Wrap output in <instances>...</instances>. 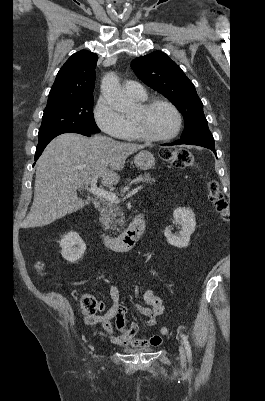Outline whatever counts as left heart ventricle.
I'll use <instances>...</instances> for the list:
<instances>
[{
  "mask_svg": "<svg viewBox=\"0 0 265 401\" xmlns=\"http://www.w3.org/2000/svg\"><path fill=\"white\" fill-rule=\"evenodd\" d=\"M139 112L140 108L138 106L133 118H139L145 132L152 137L170 135L177 128L175 114L164 105H157L144 115H140Z\"/></svg>",
  "mask_w": 265,
  "mask_h": 401,
  "instance_id": "1",
  "label": "left heart ventricle"
}]
</instances>
